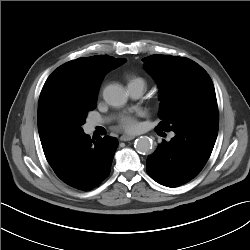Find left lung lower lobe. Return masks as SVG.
<instances>
[{
  "instance_id": "1",
  "label": "left lung lower lobe",
  "mask_w": 250,
  "mask_h": 250,
  "mask_svg": "<svg viewBox=\"0 0 250 250\" xmlns=\"http://www.w3.org/2000/svg\"><path fill=\"white\" fill-rule=\"evenodd\" d=\"M175 133L169 142L162 140L147 159L149 176L167 187L183 185L203 169L213 150L218 125L186 128Z\"/></svg>"
}]
</instances>
